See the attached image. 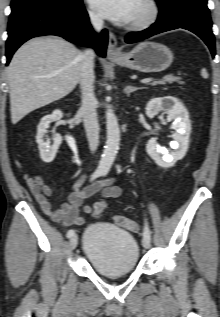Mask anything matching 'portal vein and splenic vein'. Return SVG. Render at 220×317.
I'll use <instances>...</instances> for the list:
<instances>
[{"instance_id": "obj_1", "label": "portal vein and splenic vein", "mask_w": 220, "mask_h": 317, "mask_svg": "<svg viewBox=\"0 0 220 317\" xmlns=\"http://www.w3.org/2000/svg\"><path fill=\"white\" fill-rule=\"evenodd\" d=\"M152 80H153V78H145V79H142L140 82L143 84H147V83L151 82Z\"/></svg>"}]
</instances>
